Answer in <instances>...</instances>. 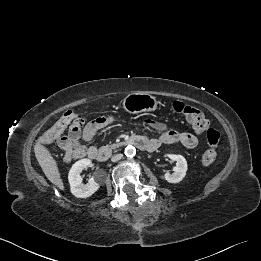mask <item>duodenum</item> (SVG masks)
<instances>
[{"instance_id": "obj_1", "label": "duodenum", "mask_w": 261, "mask_h": 261, "mask_svg": "<svg viewBox=\"0 0 261 261\" xmlns=\"http://www.w3.org/2000/svg\"><path fill=\"white\" fill-rule=\"evenodd\" d=\"M128 144L134 145L138 149L147 152L154 151L157 148V145L153 141L137 135L120 142L115 147H105L100 150L89 151L88 156L97 161L104 162L111 157L115 149L122 148Z\"/></svg>"}]
</instances>
